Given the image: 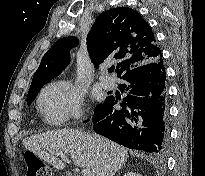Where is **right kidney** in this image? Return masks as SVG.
Instances as JSON below:
<instances>
[{
	"mask_svg": "<svg viewBox=\"0 0 205 176\" xmlns=\"http://www.w3.org/2000/svg\"><path fill=\"white\" fill-rule=\"evenodd\" d=\"M123 176H141V175L138 173H135V172H128V173L124 174Z\"/></svg>",
	"mask_w": 205,
	"mask_h": 176,
	"instance_id": "right-kidney-1",
	"label": "right kidney"
}]
</instances>
